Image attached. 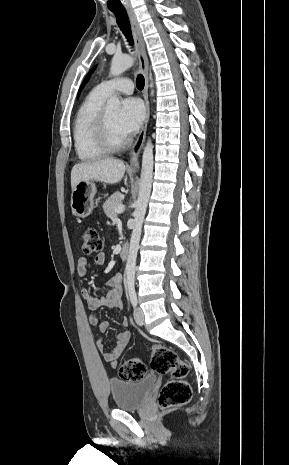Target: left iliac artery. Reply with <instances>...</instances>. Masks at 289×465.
Wrapping results in <instances>:
<instances>
[{
	"instance_id": "left-iliac-artery-1",
	"label": "left iliac artery",
	"mask_w": 289,
	"mask_h": 465,
	"mask_svg": "<svg viewBox=\"0 0 289 465\" xmlns=\"http://www.w3.org/2000/svg\"><path fill=\"white\" fill-rule=\"evenodd\" d=\"M130 301L133 307L137 306V295L135 291L129 292Z\"/></svg>"
}]
</instances>
